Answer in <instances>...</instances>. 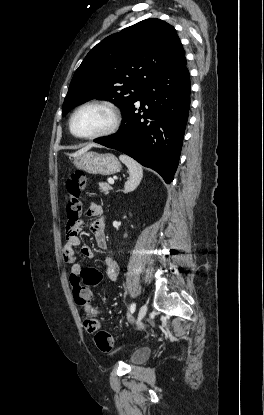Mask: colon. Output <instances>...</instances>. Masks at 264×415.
Masks as SVG:
<instances>
[{
    "label": "colon",
    "instance_id": "colon-1",
    "mask_svg": "<svg viewBox=\"0 0 264 415\" xmlns=\"http://www.w3.org/2000/svg\"><path fill=\"white\" fill-rule=\"evenodd\" d=\"M86 185V176L80 171H73L65 182L66 188V214L67 223L65 233L67 236L77 234V223L80 217L81 203L80 192ZM103 275L96 268H87L79 276L70 275L69 281L72 295L77 306L84 309V327L94 334L97 347L103 352H109L113 346L111 335L100 328L98 311L90 304L91 293L88 287H94L102 282Z\"/></svg>",
    "mask_w": 264,
    "mask_h": 415
}]
</instances>
